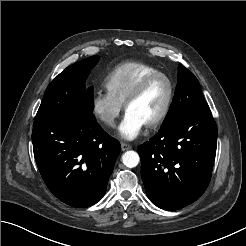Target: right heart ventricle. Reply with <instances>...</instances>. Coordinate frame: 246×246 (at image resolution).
Masks as SVG:
<instances>
[{
    "label": "right heart ventricle",
    "instance_id": "e07e8e85",
    "mask_svg": "<svg viewBox=\"0 0 246 246\" xmlns=\"http://www.w3.org/2000/svg\"><path fill=\"white\" fill-rule=\"evenodd\" d=\"M159 72V69L143 62H124L115 66L105 77L107 92L124 104L127 96L146 76Z\"/></svg>",
    "mask_w": 246,
    "mask_h": 246
}]
</instances>
